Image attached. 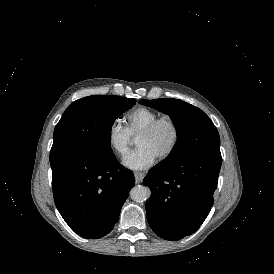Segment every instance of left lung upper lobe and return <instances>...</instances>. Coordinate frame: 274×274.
<instances>
[{"mask_svg": "<svg viewBox=\"0 0 274 274\" xmlns=\"http://www.w3.org/2000/svg\"><path fill=\"white\" fill-rule=\"evenodd\" d=\"M139 103L170 116L177 131V142L161 163L171 165L190 156L220 153L219 133L210 118L199 108L178 99L141 100Z\"/></svg>", "mask_w": 274, "mask_h": 274, "instance_id": "5c2ea615", "label": "left lung upper lobe"}]
</instances>
